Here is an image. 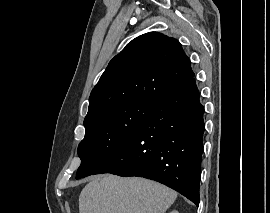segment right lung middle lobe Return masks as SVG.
I'll use <instances>...</instances> for the list:
<instances>
[{
    "mask_svg": "<svg viewBox=\"0 0 270 213\" xmlns=\"http://www.w3.org/2000/svg\"><path fill=\"white\" fill-rule=\"evenodd\" d=\"M156 103L135 100L84 121L85 137L78 146L81 165L76 179L93 175L137 131Z\"/></svg>",
    "mask_w": 270,
    "mask_h": 213,
    "instance_id": "1",
    "label": "right lung middle lobe"
}]
</instances>
